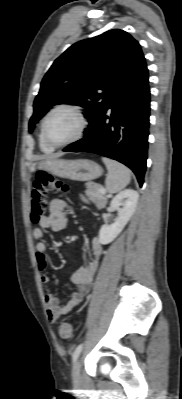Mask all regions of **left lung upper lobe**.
Masks as SVG:
<instances>
[{"mask_svg":"<svg viewBox=\"0 0 182 399\" xmlns=\"http://www.w3.org/2000/svg\"><path fill=\"white\" fill-rule=\"evenodd\" d=\"M144 64L139 43L123 30H109L73 44L44 76L34 101L29 131L51 106L60 103L84 107L83 114L91 126L115 91Z\"/></svg>","mask_w":182,"mask_h":399,"instance_id":"left-lung-upper-lobe-1","label":"left lung upper lobe"}]
</instances>
